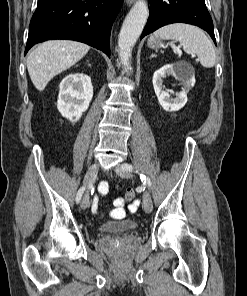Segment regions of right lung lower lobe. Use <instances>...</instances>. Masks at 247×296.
<instances>
[{
    "label": "right lung lower lobe",
    "mask_w": 247,
    "mask_h": 296,
    "mask_svg": "<svg viewBox=\"0 0 247 296\" xmlns=\"http://www.w3.org/2000/svg\"><path fill=\"white\" fill-rule=\"evenodd\" d=\"M123 0H38L25 54L51 39L76 40L110 57V32Z\"/></svg>",
    "instance_id": "right-lung-lower-lobe-1"
}]
</instances>
